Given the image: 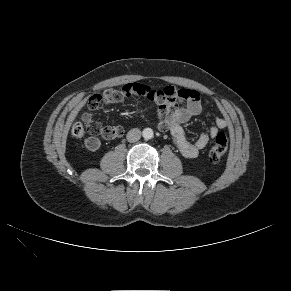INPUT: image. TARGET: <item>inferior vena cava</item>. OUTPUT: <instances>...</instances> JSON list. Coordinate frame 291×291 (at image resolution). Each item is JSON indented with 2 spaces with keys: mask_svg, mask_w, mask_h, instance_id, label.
I'll list each match as a JSON object with an SVG mask.
<instances>
[{
  "mask_svg": "<svg viewBox=\"0 0 291 291\" xmlns=\"http://www.w3.org/2000/svg\"><path fill=\"white\" fill-rule=\"evenodd\" d=\"M126 137L128 142H136L141 138V131L137 128H133L129 130Z\"/></svg>",
  "mask_w": 291,
  "mask_h": 291,
  "instance_id": "602c4592",
  "label": "inferior vena cava"
}]
</instances>
